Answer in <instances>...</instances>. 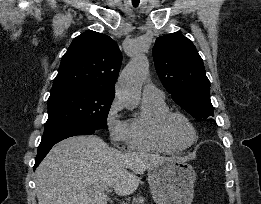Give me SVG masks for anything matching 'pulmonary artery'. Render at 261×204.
Segmentation results:
<instances>
[{
    "instance_id": "1",
    "label": "pulmonary artery",
    "mask_w": 261,
    "mask_h": 204,
    "mask_svg": "<svg viewBox=\"0 0 261 204\" xmlns=\"http://www.w3.org/2000/svg\"><path fill=\"white\" fill-rule=\"evenodd\" d=\"M164 93L162 90L153 84H146L143 88V99H163Z\"/></svg>"
}]
</instances>
